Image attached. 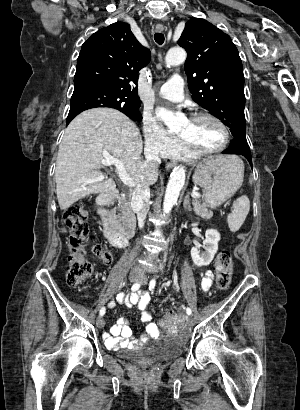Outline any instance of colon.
<instances>
[{"instance_id":"obj_1","label":"colon","mask_w":300,"mask_h":410,"mask_svg":"<svg viewBox=\"0 0 300 410\" xmlns=\"http://www.w3.org/2000/svg\"><path fill=\"white\" fill-rule=\"evenodd\" d=\"M64 223L68 229L69 255L67 259V282L72 287L84 284L93 274L92 265L85 258L86 247L90 241V230L87 223V211L83 202L70 205L64 212ZM93 252L103 261L110 263L112 255L104 244L97 242L92 247ZM216 287L226 290L232 279L233 260L229 250H221L216 259ZM174 312H167L163 324L169 328L176 325Z\"/></svg>"}]
</instances>
